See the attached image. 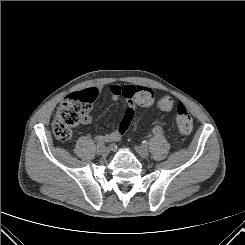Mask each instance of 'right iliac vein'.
Listing matches in <instances>:
<instances>
[{
  "label": "right iliac vein",
  "mask_w": 245,
  "mask_h": 245,
  "mask_svg": "<svg viewBox=\"0 0 245 245\" xmlns=\"http://www.w3.org/2000/svg\"><path fill=\"white\" fill-rule=\"evenodd\" d=\"M99 154L102 155L103 157H106L109 154V149L107 151H102L101 149Z\"/></svg>",
  "instance_id": "63e3f726"
}]
</instances>
